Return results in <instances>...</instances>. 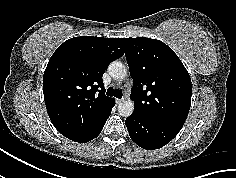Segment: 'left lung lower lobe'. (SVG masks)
<instances>
[{"mask_svg":"<svg viewBox=\"0 0 236 178\" xmlns=\"http://www.w3.org/2000/svg\"><path fill=\"white\" fill-rule=\"evenodd\" d=\"M131 139L140 147L152 150L169 143L182 127L133 112L126 121Z\"/></svg>","mask_w":236,"mask_h":178,"instance_id":"obj_1","label":"left lung lower lobe"}]
</instances>
